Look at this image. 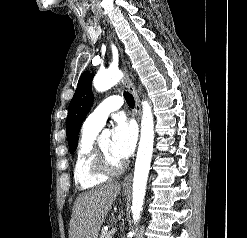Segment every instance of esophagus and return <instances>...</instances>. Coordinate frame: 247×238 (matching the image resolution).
<instances>
[{
  "instance_id": "34e87169",
  "label": "esophagus",
  "mask_w": 247,
  "mask_h": 238,
  "mask_svg": "<svg viewBox=\"0 0 247 238\" xmlns=\"http://www.w3.org/2000/svg\"><path fill=\"white\" fill-rule=\"evenodd\" d=\"M123 70L125 72V78H124V85L125 87L128 89V91L133 95L134 100H135V114L137 117L138 122L140 121V117H141V105H140V100H139V96L137 94V91L135 90L131 80L129 79L128 76V69H127V65L126 62L123 61ZM131 180H132V175L131 173H129L123 180L122 182V186L124 188H130L131 187Z\"/></svg>"
}]
</instances>
